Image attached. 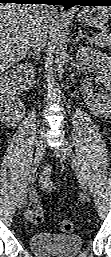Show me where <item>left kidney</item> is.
<instances>
[{
	"mask_svg": "<svg viewBox=\"0 0 111 257\" xmlns=\"http://www.w3.org/2000/svg\"><path fill=\"white\" fill-rule=\"evenodd\" d=\"M76 59L82 65L93 66L98 75L97 81L103 85L102 91L91 97L92 110L96 114L111 112V57L91 47H80Z\"/></svg>",
	"mask_w": 111,
	"mask_h": 257,
	"instance_id": "5707ae66",
	"label": "left kidney"
}]
</instances>
